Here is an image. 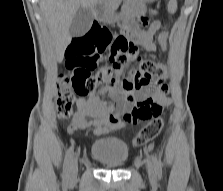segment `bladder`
Instances as JSON below:
<instances>
[{"label": "bladder", "instance_id": "1", "mask_svg": "<svg viewBox=\"0 0 223 191\" xmlns=\"http://www.w3.org/2000/svg\"><path fill=\"white\" fill-rule=\"evenodd\" d=\"M91 156L103 166L121 167L128 160L129 150L120 138H100L92 144Z\"/></svg>", "mask_w": 223, "mask_h": 191}]
</instances>
